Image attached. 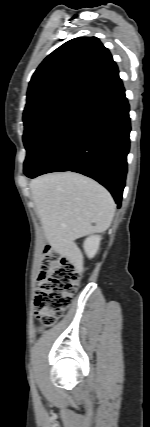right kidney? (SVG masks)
I'll list each match as a JSON object with an SVG mask.
<instances>
[{
	"label": "right kidney",
	"instance_id": "ca27d5eb",
	"mask_svg": "<svg viewBox=\"0 0 150 427\" xmlns=\"http://www.w3.org/2000/svg\"><path fill=\"white\" fill-rule=\"evenodd\" d=\"M101 236H90L84 241V250L89 258H93L99 249Z\"/></svg>",
	"mask_w": 150,
	"mask_h": 427
}]
</instances>
